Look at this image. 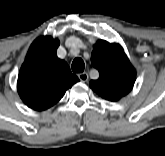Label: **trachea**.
Returning a JSON list of instances; mask_svg holds the SVG:
<instances>
[{
	"instance_id": "3493384b",
	"label": "trachea",
	"mask_w": 165,
	"mask_h": 156,
	"mask_svg": "<svg viewBox=\"0 0 165 156\" xmlns=\"http://www.w3.org/2000/svg\"><path fill=\"white\" fill-rule=\"evenodd\" d=\"M85 64L81 58H75L72 62V71L75 73H82L84 71Z\"/></svg>"
}]
</instances>
